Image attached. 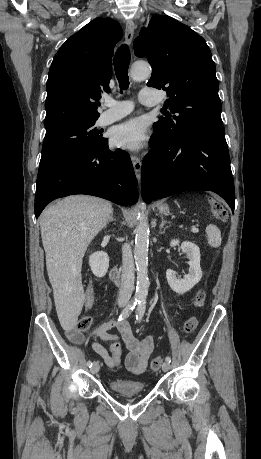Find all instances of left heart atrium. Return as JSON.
Here are the masks:
<instances>
[{"mask_svg":"<svg viewBox=\"0 0 261 459\" xmlns=\"http://www.w3.org/2000/svg\"><path fill=\"white\" fill-rule=\"evenodd\" d=\"M146 130L141 120L130 119L114 128L112 143L121 149L137 151L146 142Z\"/></svg>","mask_w":261,"mask_h":459,"instance_id":"1","label":"left heart atrium"}]
</instances>
